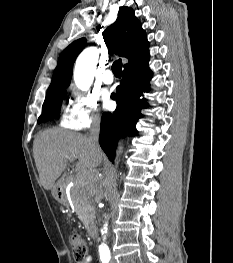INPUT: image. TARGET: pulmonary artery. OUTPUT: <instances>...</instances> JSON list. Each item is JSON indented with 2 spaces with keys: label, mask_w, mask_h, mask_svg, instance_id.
Segmentation results:
<instances>
[{
  "label": "pulmonary artery",
  "mask_w": 233,
  "mask_h": 263,
  "mask_svg": "<svg viewBox=\"0 0 233 263\" xmlns=\"http://www.w3.org/2000/svg\"><path fill=\"white\" fill-rule=\"evenodd\" d=\"M102 80L105 84H112L114 81V77L112 74V71L109 69H105L103 74H102Z\"/></svg>",
  "instance_id": "e3ab8cb5"
}]
</instances>
